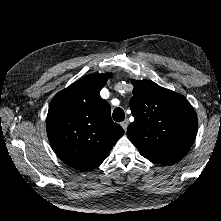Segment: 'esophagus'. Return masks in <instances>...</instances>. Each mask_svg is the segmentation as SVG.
I'll use <instances>...</instances> for the list:
<instances>
[{
	"instance_id": "esophagus-1",
	"label": "esophagus",
	"mask_w": 221,
	"mask_h": 221,
	"mask_svg": "<svg viewBox=\"0 0 221 221\" xmlns=\"http://www.w3.org/2000/svg\"><path fill=\"white\" fill-rule=\"evenodd\" d=\"M129 121L126 119L123 122H121V126L123 127V129L126 131L127 127H128Z\"/></svg>"
}]
</instances>
